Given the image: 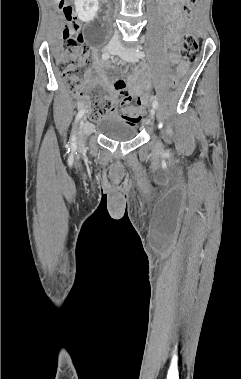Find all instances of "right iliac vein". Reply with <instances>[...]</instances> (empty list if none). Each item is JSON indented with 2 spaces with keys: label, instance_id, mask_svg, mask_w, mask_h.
Here are the masks:
<instances>
[{
  "label": "right iliac vein",
  "instance_id": "obj_1",
  "mask_svg": "<svg viewBox=\"0 0 241 379\" xmlns=\"http://www.w3.org/2000/svg\"><path fill=\"white\" fill-rule=\"evenodd\" d=\"M107 49L110 53L116 54L119 50V45L115 42H111L108 44ZM91 126L89 123L84 122L82 119L80 122L78 135H77V141L80 145L84 144L86 137L90 134Z\"/></svg>",
  "mask_w": 241,
  "mask_h": 379
}]
</instances>
